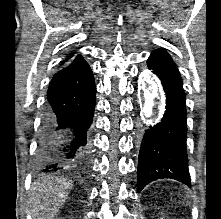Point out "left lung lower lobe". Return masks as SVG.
<instances>
[{"label":"left lung lower lobe","instance_id":"1","mask_svg":"<svg viewBox=\"0 0 221 219\" xmlns=\"http://www.w3.org/2000/svg\"><path fill=\"white\" fill-rule=\"evenodd\" d=\"M147 66L161 80L166 94V111L160 123L146 130L142 139L137 190L151 181L170 178L191 186L186 150L185 93L178 68L168 53L155 50Z\"/></svg>","mask_w":221,"mask_h":219}]
</instances>
